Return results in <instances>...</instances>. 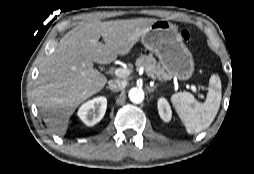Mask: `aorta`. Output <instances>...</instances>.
I'll use <instances>...</instances> for the list:
<instances>
[{
	"label": "aorta",
	"mask_w": 254,
	"mask_h": 174,
	"mask_svg": "<svg viewBox=\"0 0 254 174\" xmlns=\"http://www.w3.org/2000/svg\"><path fill=\"white\" fill-rule=\"evenodd\" d=\"M128 96L131 102L139 104L144 100V91L142 89L132 88Z\"/></svg>",
	"instance_id": "obj_1"
}]
</instances>
